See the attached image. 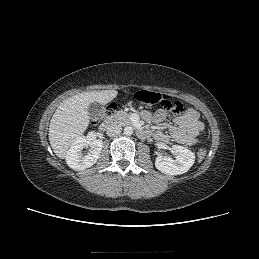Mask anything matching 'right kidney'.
I'll return each instance as SVG.
<instances>
[{"instance_id":"right-kidney-1","label":"right kidney","mask_w":259,"mask_h":259,"mask_svg":"<svg viewBox=\"0 0 259 259\" xmlns=\"http://www.w3.org/2000/svg\"><path fill=\"white\" fill-rule=\"evenodd\" d=\"M90 147L87 155H83L82 150ZM103 147L102 140L90 141L85 136L78 137L70 146L66 154L67 165L76 171H81L93 166L101 153Z\"/></svg>"}]
</instances>
